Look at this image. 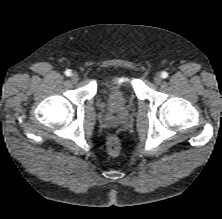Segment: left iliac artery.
<instances>
[{"label":"left iliac artery","instance_id":"1","mask_svg":"<svg viewBox=\"0 0 222 219\" xmlns=\"http://www.w3.org/2000/svg\"><path fill=\"white\" fill-rule=\"evenodd\" d=\"M161 77H162V78H167V77H168V73H167L166 71H163V72L161 73Z\"/></svg>","mask_w":222,"mask_h":219}]
</instances>
